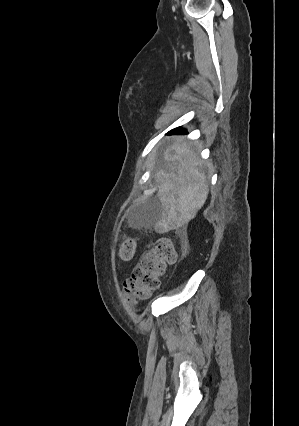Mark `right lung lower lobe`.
<instances>
[{
	"instance_id": "98d812e1",
	"label": "right lung lower lobe",
	"mask_w": 299,
	"mask_h": 426,
	"mask_svg": "<svg viewBox=\"0 0 299 426\" xmlns=\"http://www.w3.org/2000/svg\"><path fill=\"white\" fill-rule=\"evenodd\" d=\"M180 131H182L180 128H176V129L172 130L170 133H177V132H180Z\"/></svg>"
}]
</instances>
